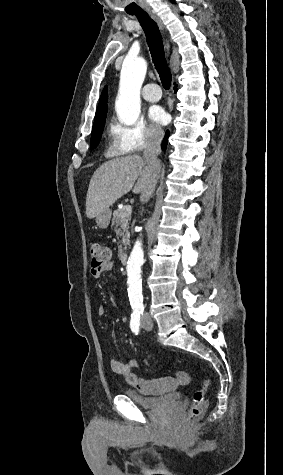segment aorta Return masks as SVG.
<instances>
[{"label":"aorta","mask_w":283,"mask_h":475,"mask_svg":"<svg viewBox=\"0 0 283 475\" xmlns=\"http://www.w3.org/2000/svg\"><path fill=\"white\" fill-rule=\"evenodd\" d=\"M146 71V62L141 57H127L123 62L116 100V112L120 121L126 125L134 124L140 115V89ZM135 231L138 232L139 238L136 240L128 258L126 271L130 304L132 307L139 308L143 307L141 280L144 263L143 245L152 233V223L144 222L142 225L136 226Z\"/></svg>","instance_id":"obj_1"}]
</instances>
